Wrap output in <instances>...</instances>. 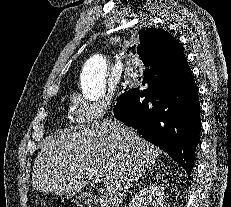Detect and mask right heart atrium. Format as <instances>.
I'll list each match as a JSON object with an SVG mask.
<instances>
[{
    "instance_id": "right-heart-atrium-1",
    "label": "right heart atrium",
    "mask_w": 231,
    "mask_h": 207,
    "mask_svg": "<svg viewBox=\"0 0 231 207\" xmlns=\"http://www.w3.org/2000/svg\"><path fill=\"white\" fill-rule=\"evenodd\" d=\"M74 108V119L78 125L89 126L100 120L111 108V97H103L97 101H88L76 94L71 99Z\"/></svg>"
}]
</instances>
